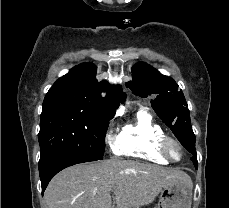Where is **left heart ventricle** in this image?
Returning a JSON list of instances; mask_svg holds the SVG:
<instances>
[{"instance_id":"b2bd125f","label":"left heart ventricle","mask_w":229,"mask_h":208,"mask_svg":"<svg viewBox=\"0 0 229 208\" xmlns=\"http://www.w3.org/2000/svg\"><path fill=\"white\" fill-rule=\"evenodd\" d=\"M174 151H175V155H176L177 157H179V155H180L179 149H178L177 147H175Z\"/></svg>"}]
</instances>
